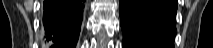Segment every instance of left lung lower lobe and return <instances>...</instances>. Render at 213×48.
Listing matches in <instances>:
<instances>
[{
  "mask_svg": "<svg viewBox=\"0 0 213 48\" xmlns=\"http://www.w3.org/2000/svg\"><path fill=\"white\" fill-rule=\"evenodd\" d=\"M123 48H174L177 0H119Z\"/></svg>",
  "mask_w": 213,
  "mask_h": 48,
  "instance_id": "1",
  "label": "left lung lower lobe"
}]
</instances>
